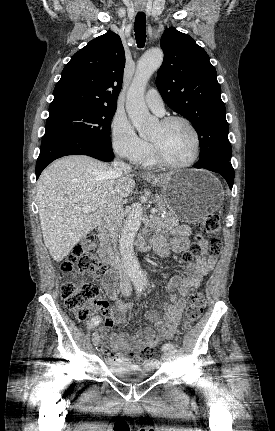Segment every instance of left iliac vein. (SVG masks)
Returning a JSON list of instances; mask_svg holds the SVG:
<instances>
[{
	"mask_svg": "<svg viewBox=\"0 0 275 431\" xmlns=\"http://www.w3.org/2000/svg\"><path fill=\"white\" fill-rule=\"evenodd\" d=\"M174 358H175V353L173 351H169V350L163 351L162 353L163 361L171 362L174 360Z\"/></svg>",
	"mask_w": 275,
	"mask_h": 431,
	"instance_id": "obj_1",
	"label": "left iliac vein"
}]
</instances>
